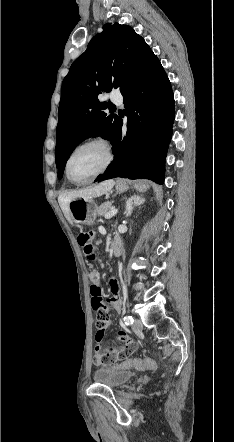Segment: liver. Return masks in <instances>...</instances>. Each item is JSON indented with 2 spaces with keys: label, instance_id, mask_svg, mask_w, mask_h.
<instances>
[{
  "label": "liver",
  "instance_id": "6515ba94",
  "mask_svg": "<svg viewBox=\"0 0 234 442\" xmlns=\"http://www.w3.org/2000/svg\"><path fill=\"white\" fill-rule=\"evenodd\" d=\"M115 184V181L113 179H109L106 181H103L95 186H92L90 188L78 190V191H72V192H65L61 194L58 198L60 207L66 217V219L73 224V220L71 217V213L69 210V203L73 201L76 198H83L85 200L93 199L96 197H100L103 194L109 192Z\"/></svg>",
  "mask_w": 234,
  "mask_h": 442
}]
</instances>
